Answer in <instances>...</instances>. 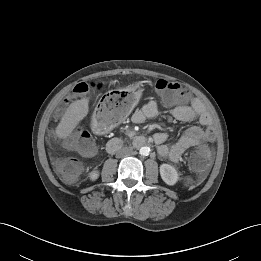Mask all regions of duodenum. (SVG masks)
Returning a JSON list of instances; mask_svg holds the SVG:
<instances>
[{"mask_svg": "<svg viewBox=\"0 0 261 261\" xmlns=\"http://www.w3.org/2000/svg\"><path fill=\"white\" fill-rule=\"evenodd\" d=\"M146 138L144 136H136L133 139V144L135 146H142L146 143ZM123 146V142L121 139L119 138H113L111 140L108 141L107 145H106V151L108 153H114L117 150H119L120 148H122Z\"/></svg>", "mask_w": 261, "mask_h": 261, "instance_id": "duodenum-1", "label": "duodenum"}]
</instances>
